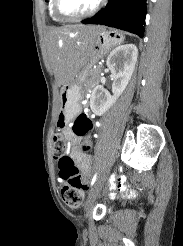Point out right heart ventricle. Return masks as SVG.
I'll return each mask as SVG.
<instances>
[{
  "mask_svg": "<svg viewBox=\"0 0 183 246\" xmlns=\"http://www.w3.org/2000/svg\"><path fill=\"white\" fill-rule=\"evenodd\" d=\"M48 9H49V14L51 16V18L55 21H61L60 18H58L55 13H54V10H53V0H49L48 2Z\"/></svg>",
  "mask_w": 183,
  "mask_h": 246,
  "instance_id": "obj_1",
  "label": "right heart ventricle"
}]
</instances>
